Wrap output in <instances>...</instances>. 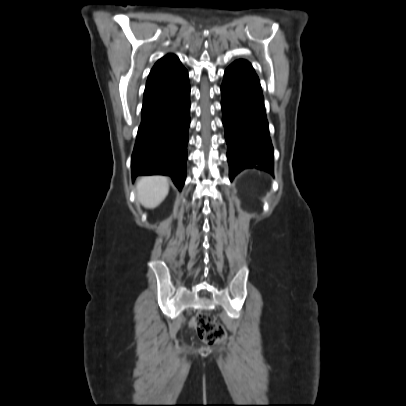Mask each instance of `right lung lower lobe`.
Segmentation results:
<instances>
[{"label":"right lung lower lobe","instance_id":"obj_1","mask_svg":"<svg viewBox=\"0 0 406 406\" xmlns=\"http://www.w3.org/2000/svg\"><path fill=\"white\" fill-rule=\"evenodd\" d=\"M190 85L181 65L144 92L142 121L131 159L132 176L163 173L181 190L186 179Z\"/></svg>","mask_w":406,"mask_h":406}]
</instances>
